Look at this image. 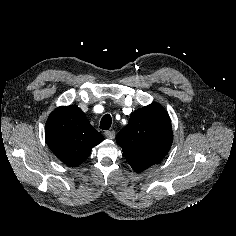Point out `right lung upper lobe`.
Here are the masks:
<instances>
[{"instance_id":"1","label":"right lung upper lobe","mask_w":236,"mask_h":236,"mask_svg":"<svg viewBox=\"0 0 236 236\" xmlns=\"http://www.w3.org/2000/svg\"><path fill=\"white\" fill-rule=\"evenodd\" d=\"M45 136L51 151L70 167L84 162L91 149L104 139L82 110L72 105L58 107L50 114Z\"/></svg>"}]
</instances>
